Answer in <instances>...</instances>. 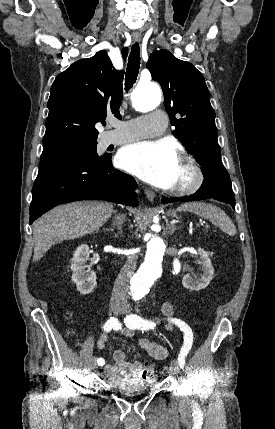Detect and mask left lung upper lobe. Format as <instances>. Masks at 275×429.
Masks as SVG:
<instances>
[{
  "label": "left lung upper lobe",
  "mask_w": 275,
  "mask_h": 429,
  "mask_svg": "<svg viewBox=\"0 0 275 429\" xmlns=\"http://www.w3.org/2000/svg\"><path fill=\"white\" fill-rule=\"evenodd\" d=\"M147 68L162 87L164 105L175 126L173 135L202 165L204 177H229L221 160L215 112L201 72L167 50L153 52Z\"/></svg>",
  "instance_id": "left-lung-upper-lobe-1"
}]
</instances>
